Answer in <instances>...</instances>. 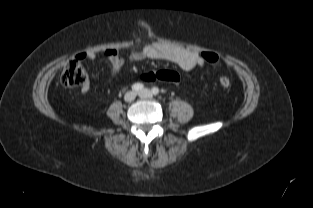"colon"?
<instances>
[{"label":"colon","instance_id":"5ec220e1","mask_svg":"<svg viewBox=\"0 0 313 208\" xmlns=\"http://www.w3.org/2000/svg\"><path fill=\"white\" fill-rule=\"evenodd\" d=\"M200 56L205 63L217 65L219 63V56L210 51L200 53ZM142 79L149 82L162 81L175 85L180 83V75L172 70H158L150 71L142 75ZM62 84L66 87H80L86 84V73L79 60L70 61L65 67L62 74ZM219 84L223 89L231 87V79L227 75H223L219 79Z\"/></svg>","mask_w":313,"mask_h":208}]
</instances>
